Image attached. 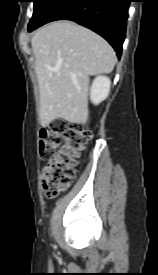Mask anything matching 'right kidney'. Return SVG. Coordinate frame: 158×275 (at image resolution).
Wrapping results in <instances>:
<instances>
[{
  "mask_svg": "<svg viewBox=\"0 0 158 275\" xmlns=\"http://www.w3.org/2000/svg\"><path fill=\"white\" fill-rule=\"evenodd\" d=\"M111 81L106 76H98L94 79L91 89L90 98L94 104H99L105 100L110 91Z\"/></svg>",
  "mask_w": 158,
  "mask_h": 275,
  "instance_id": "obj_1",
  "label": "right kidney"
}]
</instances>
